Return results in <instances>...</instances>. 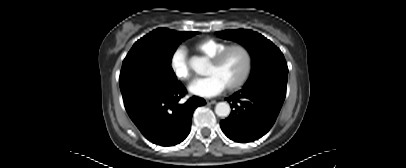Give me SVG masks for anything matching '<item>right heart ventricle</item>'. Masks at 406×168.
<instances>
[{"mask_svg":"<svg viewBox=\"0 0 406 168\" xmlns=\"http://www.w3.org/2000/svg\"><path fill=\"white\" fill-rule=\"evenodd\" d=\"M228 45L227 42L208 38L195 43L194 49L203 57L210 59Z\"/></svg>","mask_w":406,"mask_h":168,"instance_id":"obj_1","label":"right heart ventricle"}]
</instances>
